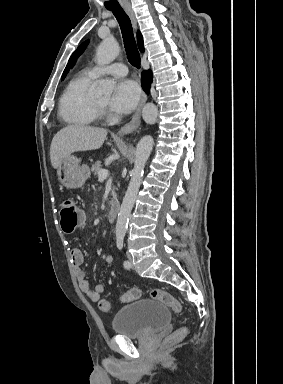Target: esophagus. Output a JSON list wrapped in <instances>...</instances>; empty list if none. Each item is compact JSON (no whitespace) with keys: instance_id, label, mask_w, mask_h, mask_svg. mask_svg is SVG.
<instances>
[{"instance_id":"1","label":"esophagus","mask_w":283,"mask_h":384,"mask_svg":"<svg viewBox=\"0 0 283 384\" xmlns=\"http://www.w3.org/2000/svg\"><path fill=\"white\" fill-rule=\"evenodd\" d=\"M124 9L126 13L129 15V18L131 20V23L134 27V29H137V20L135 17L134 10L132 9L131 6H124ZM147 100V95L145 93H142L141 99L139 101L138 107L135 110V113L133 114L132 119L128 124L123 125L121 129L118 131V135H127L130 134L131 132H134L135 130L138 129L141 121V110L143 105L146 103Z\"/></svg>"}]
</instances>
